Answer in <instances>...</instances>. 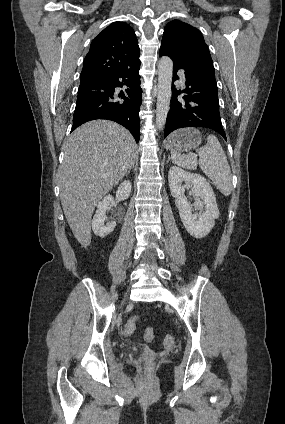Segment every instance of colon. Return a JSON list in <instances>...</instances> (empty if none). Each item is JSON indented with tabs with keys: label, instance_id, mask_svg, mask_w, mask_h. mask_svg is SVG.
I'll list each match as a JSON object with an SVG mask.
<instances>
[{
	"label": "colon",
	"instance_id": "5ec220e1",
	"mask_svg": "<svg viewBox=\"0 0 285 424\" xmlns=\"http://www.w3.org/2000/svg\"><path fill=\"white\" fill-rule=\"evenodd\" d=\"M138 319L139 318L137 316H134V317H132L128 320V322L126 323V325L124 327V333L126 335H131V334L134 333ZM143 337L146 341H151L154 338L153 328H147L144 331ZM173 342H174V337L172 335H167L164 339L165 345H171V344H173ZM148 362L151 363V356H148Z\"/></svg>",
	"mask_w": 285,
	"mask_h": 424
}]
</instances>
